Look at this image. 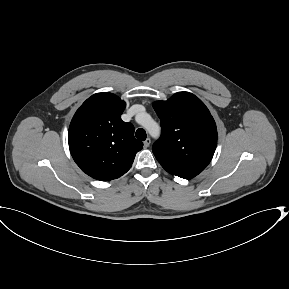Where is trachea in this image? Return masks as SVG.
Listing matches in <instances>:
<instances>
[{
    "mask_svg": "<svg viewBox=\"0 0 289 289\" xmlns=\"http://www.w3.org/2000/svg\"><path fill=\"white\" fill-rule=\"evenodd\" d=\"M135 135L137 139L142 140V141L146 140V137H147L146 131L142 128L137 129Z\"/></svg>",
    "mask_w": 289,
    "mask_h": 289,
    "instance_id": "3493384b",
    "label": "trachea"
}]
</instances>
